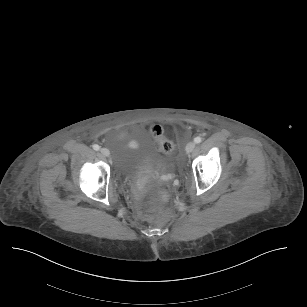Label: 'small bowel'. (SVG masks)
<instances>
[{"label": "small bowel", "instance_id": "c3829d8e", "mask_svg": "<svg viewBox=\"0 0 307 307\" xmlns=\"http://www.w3.org/2000/svg\"><path fill=\"white\" fill-rule=\"evenodd\" d=\"M121 136H124V134H122ZM131 147H134V146H136V143L135 142H130V144H129Z\"/></svg>", "mask_w": 307, "mask_h": 307}]
</instances>
